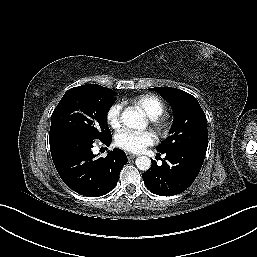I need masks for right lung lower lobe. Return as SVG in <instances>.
Listing matches in <instances>:
<instances>
[{"mask_svg":"<svg viewBox=\"0 0 257 257\" xmlns=\"http://www.w3.org/2000/svg\"><path fill=\"white\" fill-rule=\"evenodd\" d=\"M105 145L111 138L101 141ZM54 165L63 182L83 196H102L110 192L127 163L124 151L114 149L103 158L91 151L94 140L78 135H62L49 139Z\"/></svg>","mask_w":257,"mask_h":257,"instance_id":"right-lung-lower-lobe-1","label":"right lung lower lobe"}]
</instances>
